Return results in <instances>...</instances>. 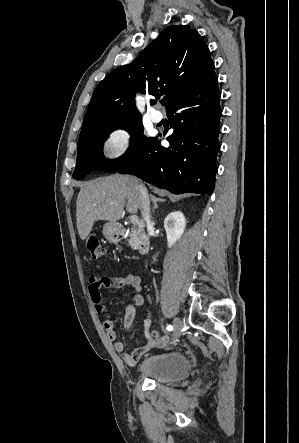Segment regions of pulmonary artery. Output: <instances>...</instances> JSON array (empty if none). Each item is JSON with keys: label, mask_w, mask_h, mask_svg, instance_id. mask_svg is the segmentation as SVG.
Segmentation results:
<instances>
[{"label": "pulmonary artery", "mask_w": 299, "mask_h": 443, "mask_svg": "<svg viewBox=\"0 0 299 443\" xmlns=\"http://www.w3.org/2000/svg\"><path fill=\"white\" fill-rule=\"evenodd\" d=\"M150 118H151V120H152L153 122L158 123V122H160V121L162 120L163 116H162V113H161L160 111H158V110H153V111L150 113Z\"/></svg>", "instance_id": "1"}]
</instances>
